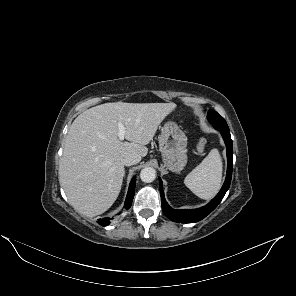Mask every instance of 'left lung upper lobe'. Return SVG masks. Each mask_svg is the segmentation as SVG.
<instances>
[{
    "instance_id": "5c2ea615",
    "label": "left lung upper lobe",
    "mask_w": 296,
    "mask_h": 296,
    "mask_svg": "<svg viewBox=\"0 0 296 296\" xmlns=\"http://www.w3.org/2000/svg\"><path fill=\"white\" fill-rule=\"evenodd\" d=\"M208 114H209L208 119L211 124L227 125L224 118H222L216 111L210 110Z\"/></svg>"
}]
</instances>
